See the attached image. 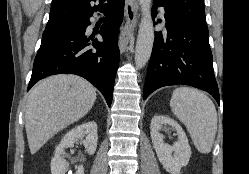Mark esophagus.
<instances>
[{"instance_id": "1", "label": "esophagus", "mask_w": 249, "mask_h": 174, "mask_svg": "<svg viewBox=\"0 0 249 174\" xmlns=\"http://www.w3.org/2000/svg\"><path fill=\"white\" fill-rule=\"evenodd\" d=\"M138 10L139 6L137 0L125 1V20L121 28L119 39V49L121 53L125 51L133 36V30L138 17Z\"/></svg>"}]
</instances>
